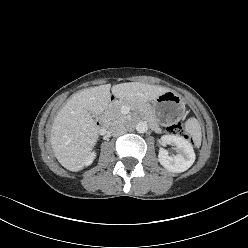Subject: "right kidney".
Wrapping results in <instances>:
<instances>
[{
	"label": "right kidney",
	"mask_w": 248,
	"mask_h": 248,
	"mask_svg": "<svg viewBox=\"0 0 248 248\" xmlns=\"http://www.w3.org/2000/svg\"><path fill=\"white\" fill-rule=\"evenodd\" d=\"M95 156H96V154H95L94 152L91 153V154L89 155L88 159L86 160L85 165H86V166L90 165V164L93 162Z\"/></svg>",
	"instance_id": "obj_1"
}]
</instances>
